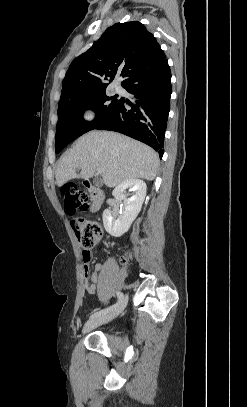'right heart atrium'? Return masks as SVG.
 Returning a JSON list of instances; mask_svg holds the SVG:
<instances>
[{
	"label": "right heart atrium",
	"mask_w": 247,
	"mask_h": 407,
	"mask_svg": "<svg viewBox=\"0 0 247 407\" xmlns=\"http://www.w3.org/2000/svg\"><path fill=\"white\" fill-rule=\"evenodd\" d=\"M98 118V111L94 106H86L81 114V119L85 123H93Z\"/></svg>",
	"instance_id": "1"
}]
</instances>
